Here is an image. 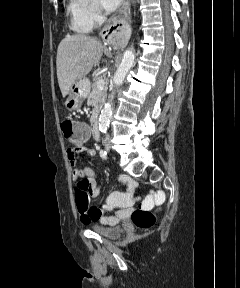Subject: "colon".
I'll return each instance as SVG.
<instances>
[{
    "label": "colon",
    "instance_id": "obj_1",
    "mask_svg": "<svg viewBox=\"0 0 240 288\" xmlns=\"http://www.w3.org/2000/svg\"><path fill=\"white\" fill-rule=\"evenodd\" d=\"M61 130L64 137L71 143H78L86 138V130L83 124L78 123L74 120H64L61 123ZM131 219L133 224L138 229H148L152 227L156 222V214L150 210L136 209L132 215Z\"/></svg>",
    "mask_w": 240,
    "mask_h": 288
}]
</instances>
